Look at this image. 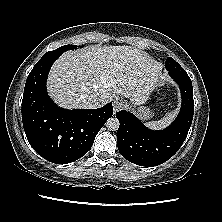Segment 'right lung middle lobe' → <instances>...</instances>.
Returning <instances> with one entry per match:
<instances>
[{
	"mask_svg": "<svg viewBox=\"0 0 222 222\" xmlns=\"http://www.w3.org/2000/svg\"><path fill=\"white\" fill-rule=\"evenodd\" d=\"M77 49V45H64L56 50L50 51L45 53L44 55H49V54H59L61 55L63 52L68 51V50H73Z\"/></svg>",
	"mask_w": 222,
	"mask_h": 222,
	"instance_id": "right-lung-middle-lobe-1",
	"label": "right lung middle lobe"
}]
</instances>
